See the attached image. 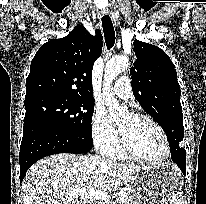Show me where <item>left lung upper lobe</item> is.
<instances>
[{
  "label": "left lung upper lobe",
  "mask_w": 206,
  "mask_h": 204,
  "mask_svg": "<svg viewBox=\"0 0 206 204\" xmlns=\"http://www.w3.org/2000/svg\"><path fill=\"white\" fill-rule=\"evenodd\" d=\"M133 50L137 57L130 69L133 94L165 130L169 143L181 146L184 127L175 66L154 45L135 40Z\"/></svg>",
  "instance_id": "left-lung-upper-lobe-1"
}]
</instances>
